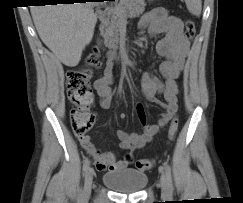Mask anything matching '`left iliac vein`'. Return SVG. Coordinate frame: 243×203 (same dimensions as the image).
I'll return each mask as SVG.
<instances>
[{"label":"left iliac vein","instance_id":"obj_1","mask_svg":"<svg viewBox=\"0 0 243 203\" xmlns=\"http://www.w3.org/2000/svg\"><path fill=\"white\" fill-rule=\"evenodd\" d=\"M162 176H161V189H162V193L163 194H168L169 193V185H168V180L165 176V174L163 173V171H161Z\"/></svg>","mask_w":243,"mask_h":203}]
</instances>
